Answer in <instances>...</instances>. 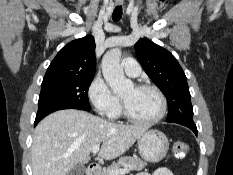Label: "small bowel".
<instances>
[{
    "instance_id": "1",
    "label": "small bowel",
    "mask_w": 233,
    "mask_h": 175,
    "mask_svg": "<svg viewBox=\"0 0 233 175\" xmlns=\"http://www.w3.org/2000/svg\"><path fill=\"white\" fill-rule=\"evenodd\" d=\"M136 175H174L173 172L165 167L158 168L155 170L152 174L146 172V171H141L137 173Z\"/></svg>"
}]
</instances>
